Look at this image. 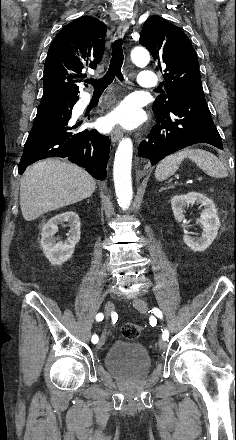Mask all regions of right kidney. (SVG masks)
Listing matches in <instances>:
<instances>
[{"label": "right kidney", "instance_id": "1", "mask_svg": "<svg viewBox=\"0 0 236 440\" xmlns=\"http://www.w3.org/2000/svg\"><path fill=\"white\" fill-rule=\"evenodd\" d=\"M64 222H69L70 230L67 240L62 242L54 235L58 231V225H63ZM80 234V219L74 211L55 215L44 224L41 232V247L51 265H61L72 257L75 245L80 240Z\"/></svg>", "mask_w": 236, "mask_h": 440}]
</instances>
